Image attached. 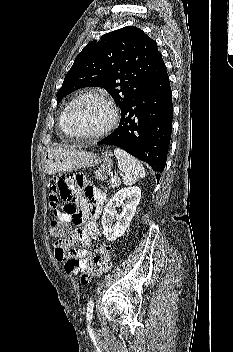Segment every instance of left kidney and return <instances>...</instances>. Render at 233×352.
<instances>
[{
	"mask_svg": "<svg viewBox=\"0 0 233 352\" xmlns=\"http://www.w3.org/2000/svg\"><path fill=\"white\" fill-rule=\"evenodd\" d=\"M140 198L141 189L133 186L119 190L108 201L102 215L103 234L108 241H114L125 233L135 215ZM117 207H121L122 212L117 216V222L113 224Z\"/></svg>",
	"mask_w": 233,
	"mask_h": 352,
	"instance_id": "5707ae66",
	"label": "left kidney"
}]
</instances>
